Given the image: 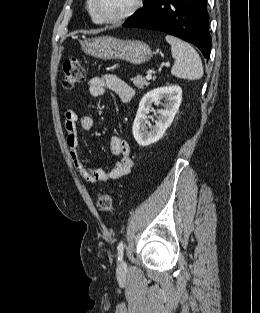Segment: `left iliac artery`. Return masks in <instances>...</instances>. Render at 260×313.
Returning a JSON list of instances; mask_svg holds the SVG:
<instances>
[{
    "mask_svg": "<svg viewBox=\"0 0 260 313\" xmlns=\"http://www.w3.org/2000/svg\"><path fill=\"white\" fill-rule=\"evenodd\" d=\"M117 250H118V260H122L123 258V251H124V243L123 241H120L118 246H117Z\"/></svg>",
    "mask_w": 260,
    "mask_h": 313,
    "instance_id": "obj_1",
    "label": "left iliac artery"
}]
</instances>
